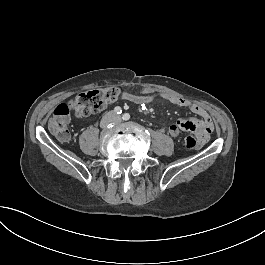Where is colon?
<instances>
[{
  "instance_id": "colon-1",
  "label": "colon",
  "mask_w": 265,
  "mask_h": 265,
  "mask_svg": "<svg viewBox=\"0 0 265 265\" xmlns=\"http://www.w3.org/2000/svg\"><path fill=\"white\" fill-rule=\"evenodd\" d=\"M119 95L120 91L115 87L86 90L69 103L59 105L49 117L48 127L59 140L67 141L70 138L67 124L71 113H74L78 117L98 113L109 104L114 103ZM194 144L195 139L193 136H187L185 138V147L187 150L192 151Z\"/></svg>"
}]
</instances>
